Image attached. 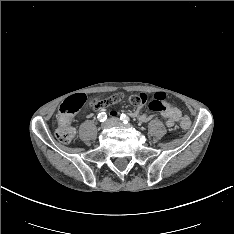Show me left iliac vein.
Masks as SVG:
<instances>
[{
    "label": "left iliac vein",
    "instance_id": "obj_1",
    "mask_svg": "<svg viewBox=\"0 0 234 234\" xmlns=\"http://www.w3.org/2000/svg\"><path fill=\"white\" fill-rule=\"evenodd\" d=\"M111 122V125L121 127L123 124L118 118H112L109 120Z\"/></svg>",
    "mask_w": 234,
    "mask_h": 234
}]
</instances>
